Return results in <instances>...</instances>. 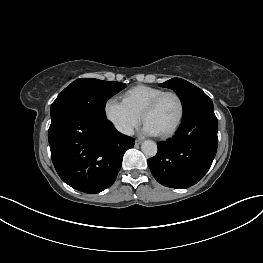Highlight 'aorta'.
<instances>
[{
  "label": "aorta",
  "mask_w": 263,
  "mask_h": 263,
  "mask_svg": "<svg viewBox=\"0 0 263 263\" xmlns=\"http://www.w3.org/2000/svg\"><path fill=\"white\" fill-rule=\"evenodd\" d=\"M141 150L146 156L153 157L157 153V144L152 140H146L142 143Z\"/></svg>",
  "instance_id": "obj_1"
}]
</instances>
